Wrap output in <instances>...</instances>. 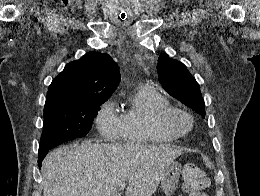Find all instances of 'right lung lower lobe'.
Segmentation results:
<instances>
[{"label": "right lung lower lobe", "instance_id": "right-lung-lower-lobe-1", "mask_svg": "<svg viewBox=\"0 0 260 196\" xmlns=\"http://www.w3.org/2000/svg\"><path fill=\"white\" fill-rule=\"evenodd\" d=\"M50 149H39V158H38V164L41 166V162L43 158L46 156Z\"/></svg>", "mask_w": 260, "mask_h": 196}]
</instances>
